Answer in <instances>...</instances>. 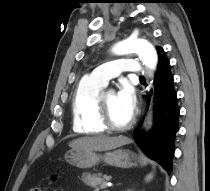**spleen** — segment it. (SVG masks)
I'll list each match as a JSON object with an SVG mask.
<instances>
[{
  "instance_id": "3e777b00",
  "label": "spleen",
  "mask_w": 210,
  "mask_h": 191,
  "mask_svg": "<svg viewBox=\"0 0 210 191\" xmlns=\"http://www.w3.org/2000/svg\"><path fill=\"white\" fill-rule=\"evenodd\" d=\"M153 176L150 174L147 176L146 181H149Z\"/></svg>"
}]
</instances>
